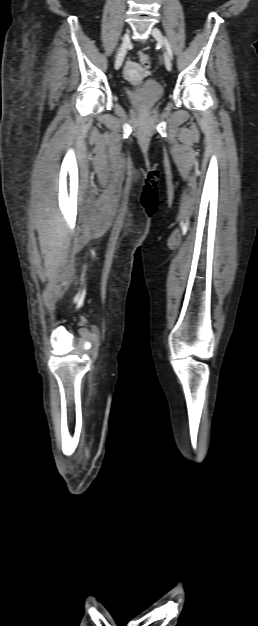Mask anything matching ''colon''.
Here are the masks:
<instances>
[{
  "instance_id": "colon-1",
  "label": "colon",
  "mask_w": 258,
  "mask_h": 626,
  "mask_svg": "<svg viewBox=\"0 0 258 626\" xmlns=\"http://www.w3.org/2000/svg\"><path fill=\"white\" fill-rule=\"evenodd\" d=\"M138 59L141 62L142 65H144L145 67H148L150 65V59L149 56L144 53V52H138Z\"/></svg>"
}]
</instances>
